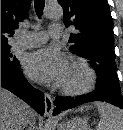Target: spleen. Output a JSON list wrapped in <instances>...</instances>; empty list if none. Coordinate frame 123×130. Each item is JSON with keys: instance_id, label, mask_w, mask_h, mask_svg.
Masks as SVG:
<instances>
[{"instance_id": "3e777b00", "label": "spleen", "mask_w": 123, "mask_h": 130, "mask_svg": "<svg viewBox=\"0 0 123 130\" xmlns=\"http://www.w3.org/2000/svg\"><path fill=\"white\" fill-rule=\"evenodd\" d=\"M95 105L100 112V121L96 130H123V115L118 108L103 102Z\"/></svg>"}]
</instances>
